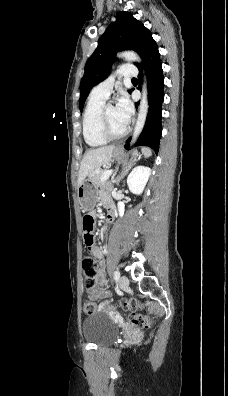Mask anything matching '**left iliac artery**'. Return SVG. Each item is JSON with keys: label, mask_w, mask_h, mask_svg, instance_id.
Instances as JSON below:
<instances>
[{"label": "left iliac artery", "mask_w": 228, "mask_h": 396, "mask_svg": "<svg viewBox=\"0 0 228 396\" xmlns=\"http://www.w3.org/2000/svg\"><path fill=\"white\" fill-rule=\"evenodd\" d=\"M113 277L115 281H118L120 278V272L118 270H115L113 273Z\"/></svg>", "instance_id": "1"}]
</instances>
